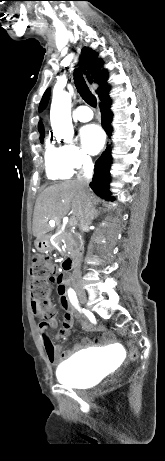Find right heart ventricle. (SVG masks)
I'll return each instance as SVG.
<instances>
[{"label": "right heart ventricle", "mask_w": 165, "mask_h": 461, "mask_svg": "<svg viewBox=\"0 0 165 461\" xmlns=\"http://www.w3.org/2000/svg\"><path fill=\"white\" fill-rule=\"evenodd\" d=\"M45 171L51 180L68 179L72 169L66 164L61 147H55L50 141L45 146Z\"/></svg>", "instance_id": "right-heart-ventricle-1"}]
</instances>
